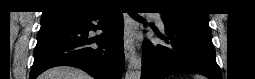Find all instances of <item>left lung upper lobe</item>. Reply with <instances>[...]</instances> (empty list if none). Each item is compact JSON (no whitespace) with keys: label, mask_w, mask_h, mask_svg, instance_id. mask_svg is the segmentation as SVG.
Returning a JSON list of instances; mask_svg holds the SVG:
<instances>
[{"label":"left lung upper lobe","mask_w":255,"mask_h":79,"mask_svg":"<svg viewBox=\"0 0 255 79\" xmlns=\"http://www.w3.org/2000/svg\"><path fill=\"white\" fill-rule=\"evenodd\" d=\"M160 13L169 22H196L209 23L208 14H203L196 11H185L181 8V4L175 0H163L159 2Z\"/></svg>","instance_id":"1"}]
</instances>
